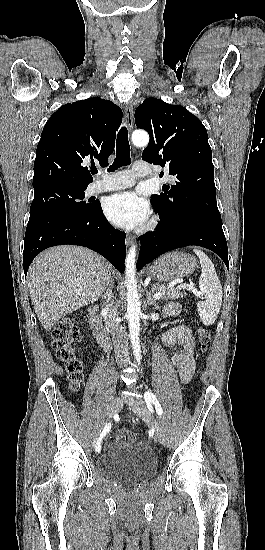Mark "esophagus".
Masks as SVG:
<instances>
[{
  "label": "esophagus",
  "instance_id": "1",
  "mask_svg": "<svg viewBox=\"0 0 265 550\" xmlns=\"http://www.w3.org/2000/svg\"><path fill=\"white\" fill-rule=\"evenodd\" d=\"M124 114H125L126 126L129 130V132H131L132 129H133V105H132L131 102L126 103V105L124 107ZM133 151H134V149H133ZM133 240H134L133 236L127 235V237H126L127 244L132 243Z\"/></svg>",
  "mask_w": 265,
  "mask_h": 550
}]
</instances>
